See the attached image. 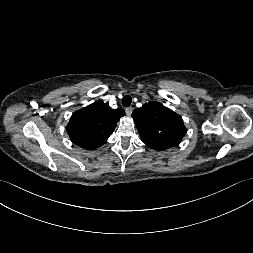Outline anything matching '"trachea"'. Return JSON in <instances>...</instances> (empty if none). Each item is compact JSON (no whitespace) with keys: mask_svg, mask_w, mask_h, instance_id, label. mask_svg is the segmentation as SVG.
<instances>
[{"mask_svg":"<svg viewBox=\"0 0 253 253\" xmlns=\"http://www.w3.org/2000/svg\"><path fill=\"white\" fill-rule=\"evenodd\" d=\"M132 98L130 95H125L122 99V104L125 107H129L131 105Z\"/></svg>","mask_w":253,"mask_h":253,"instance_id":"3493384b","label":"trachea"}]
</instances>
